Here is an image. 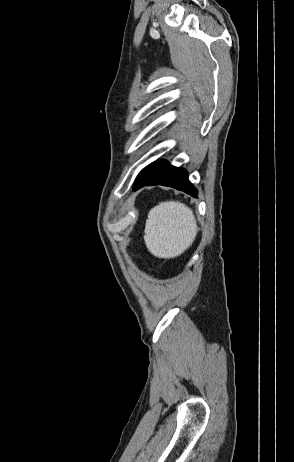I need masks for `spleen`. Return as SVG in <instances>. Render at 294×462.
<instances>
[{
	"label": "spleen",
	"instance_id": "spleen-1",
	"mask_svg": "<svg viewBox=\"0 0 294 462\" xmlns=\"http://www.w3.org/2000/svg\"><path fill=\"white\" fill-rule=\"evenodd\" d=\"M197 230L190 208L180 202L167 201L149 211L144 240L154 256L172 258L192 244Z\"/></svg>",
	"mask_w": 294,
	"mask_h": 462
}]
</instances>
